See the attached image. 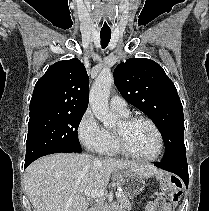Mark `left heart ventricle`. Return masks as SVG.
<instances>
[{
  "instance_id": "left-heart-ventricle-1",
  "label": "left heart ventricle",
  "mask_w": 209,
  "mask_h": 211,
  "mask_svg": "<svg viewBox=\"0 0 209 211\" xmlns=\"http://www.w3.org/2000/svg\"><path fill=\"white\" fill-rule=\"evenodd\" d=\"M122 127V123L117 129ZM127 145L131 152L143 158L153 156L158 148V140L153 128L145 123L134 124L126 133Z\"/></svg>"
}]
</instances>
